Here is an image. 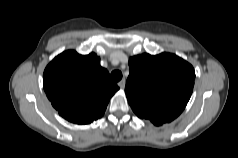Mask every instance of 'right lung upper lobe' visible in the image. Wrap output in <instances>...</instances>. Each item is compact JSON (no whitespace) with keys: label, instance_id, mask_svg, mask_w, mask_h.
Here are the masks:
<instances>
[{"label":"right lung upper lobe","instance_id":"1","mask_svg":"<svg viewBox=\"0 0 238 158\" xmlns=\"http://www.w3.org/2000/svg\"><path fill=\"white\" fill-rule=\"evenodd\" d=\"M43 86L53 107L66 120L89 124L101 118L119 87L95 53L74 50L56 56L45 68Z\"/></svg>","mask_w":238,"mask_h":158}]
</instances>
